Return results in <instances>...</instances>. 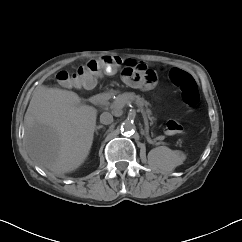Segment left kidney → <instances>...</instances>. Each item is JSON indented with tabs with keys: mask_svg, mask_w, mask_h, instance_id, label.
Segmentation results:
<instances>
[{
	"mask_svg": "<svg viewBox=\"0 0 242 242\" xmlns=\"http://www.w3.org/2000/svg\"><path fill=\"white\" fill-rule=\"evenodd\" d=\"M158 148H159V147H158ZM158 148L152 150V151L150 152V154H157V155H158ZM176 155H177V158H178L176 165H180V164H182V162H183V156H182V155H179V153L176 154ZM176 165H175V166H176Z\"/></svg>",
	"mask_w": 242,
	"mask_h": 242,
	"instance_id": "obj_1",
	"label": "left kidney"
}]
</instances>
